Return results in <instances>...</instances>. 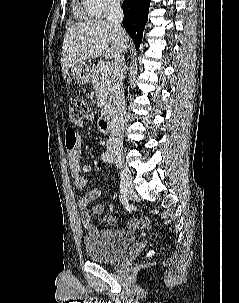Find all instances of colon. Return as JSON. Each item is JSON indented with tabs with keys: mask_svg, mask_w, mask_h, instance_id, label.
<instances>
[{
	"mask_svg": "<svg viewBox=\"0 0 239 303\" xmlns=\"http://www.w3.org/2000/svg\"><path fill=\"white\" fill-rule=\"evenodd\" d=\"M90 113L88 104L80 97H72L68 102V119L72 123L79 122Z\"/></svg>",
	"mask_w": 239,
	"mask_h": 303,
	"instance_id": "5ec220e1",
	"label": "colon"
}]
</instances>
